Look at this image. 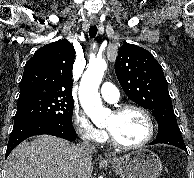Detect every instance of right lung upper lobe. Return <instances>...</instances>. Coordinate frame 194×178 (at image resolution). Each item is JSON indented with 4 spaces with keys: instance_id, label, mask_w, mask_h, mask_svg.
<instances>
[{
    "instance_id": "obj_1",
    "label": "right lung upper lobe",
    "mask_w": 194,
    "mask_h": 178,
    "mask_svg": "<svg viewBox=\"0 0 194 178\" xmlns=\"http://www.w3.org/2000/svg\"><path fill=\"white\" fill-rule=\"evenodd\" d=\"M73 45L66 39L38 49L25 64L18 100L65 96L72 98Z\"/></svg>"
}]
</instances>
